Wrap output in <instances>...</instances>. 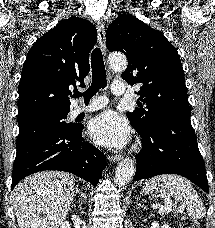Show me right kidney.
<instances>
[{
  "instance_id": "1",
  "label": "right kidney",
  "mask_w": 215,
  "mask_h": 228,
  "mask_svg": "<svg viewBox=\"0 0 215 228\" xmlns=\"http://www.w3.org/2000/svg\"><path fill=\"white\" fill-rule=\"evenodd\" d=\"M61 228H71L69 222H61Z\"/></svg>"
}]
</instances>
